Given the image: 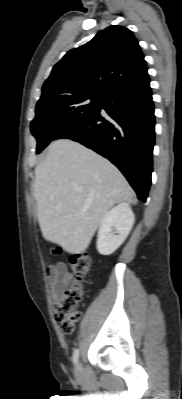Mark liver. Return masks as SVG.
<instances>
[{"instance_id": "1", "label": "liver", "mask_w": 182, "mask_h": 399, "mask_svg": "<svg viewBox=\"0 0 182 399\" xmlns=\"http://www.w3.org/2000/svg\"><path fill=\"white\" fill-rule=\"evenodd\" d=\"M34 195L45 240L76 254L87 249L109 209L132 201L134 191L107 159L60 139L35 168Z\"/></svg>"}]
</instances>
